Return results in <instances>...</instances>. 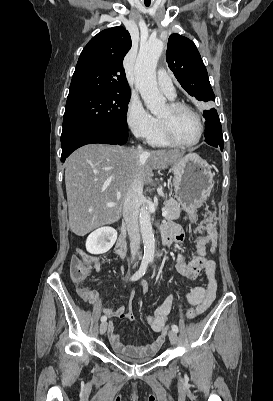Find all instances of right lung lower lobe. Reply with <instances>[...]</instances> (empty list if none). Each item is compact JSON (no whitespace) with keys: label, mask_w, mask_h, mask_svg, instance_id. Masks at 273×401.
<instances>
[{"label":"right lung lower lobe","mask_w":273,"mask_h":401,"mask_svg":"<svg viewBox=\"0 0 273 401\" xmlns=\"http://www.w3.org/2000/svg\"><path fill=\"white\" fill-rule=\"evenodd\" d=\"M127 138L128 131L123 130L104 129L83 124L66 127L61 135V161L64 162L74 150L83 145L92 143L123 145Z\"/></svg>","instance_id":"1"}]
</instances>
